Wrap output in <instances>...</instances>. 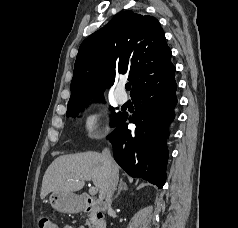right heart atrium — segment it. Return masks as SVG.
<instances>
[{"label":"right heart atrium","instance_id":"d8ad5b80","mask_svg":"<svg viewBox=\"0 0 238 228\" xmlns=\"http://www.w3.org/2000/svg\"><path fill=\"white\" fill-rule=\"evenodd\" d=\"M81 129L88 141L102 139L105 136L102 116L96 109L89 110L81 120Z\"/></svg>","mask_w":238,"mask_h":228}]
</instances>
